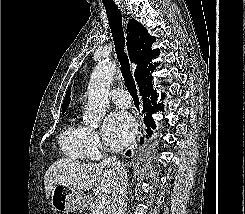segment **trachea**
Listing matches in <instances>:
<instances>
[{"instance_id": "3493384b", "label": "trachea", "mask_w": 245, "mask_h": 214, "mask_svg": "<svg viewBox=\"0 0 245 214\" xmlns=\"http://www.w3.org/2000/svg\"><path fill=\"white\" fill-rule=\"evenodd\" d=\"M109 25L115 44V51L121 65V72L125 85L133 97L134 102L139 103L136 84L130 71V63L125 53V37L122 26V15L116 4H105Z\"/></svg>"}]
</instances>
